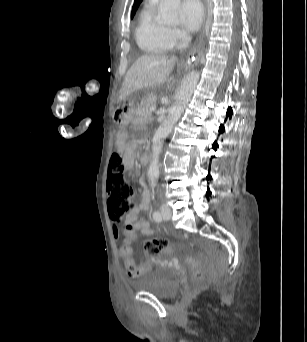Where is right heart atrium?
Wrapping results in <instances>:
<instances>
[{
  "mask_svg": "<svg viewBox=\"0 0 307 342\" xmlns=\"http://www.w3.org/2000/svg\"><path fill=\"white\" fill-rule=\"evenodd\" d=\"M165 38L169 43L175 44L177 41V33L171 32V33L165 34Z\"/></svg>",
  "mask_w": 307,
  "mask_h": 342,
  "instance_id": "obj_1",
  "label": "right heart atrium"
}]
</instances>
